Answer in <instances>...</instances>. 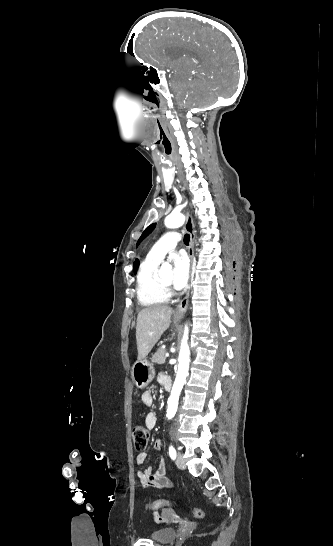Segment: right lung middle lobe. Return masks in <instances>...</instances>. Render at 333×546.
<instances>
[{
    "label": "right lung middle lobe",
    "mask_w": 333,
    "mask_h": 546,
    "mask_svg": "<svg viewBox=\"0 0 333 546\" xmlns=\"http://www.w3.org/2000/svg\"><path fill=\"white\" fill-rule=\"evenodd\" d=\"M137 266V264L134 265V272H136Z\"/></svg>",
    "instance_id": "1"
}]
</instances>
